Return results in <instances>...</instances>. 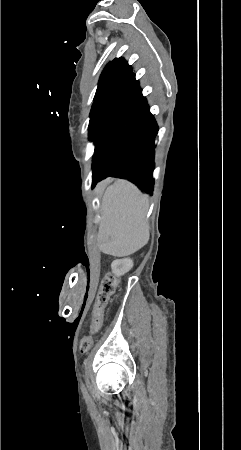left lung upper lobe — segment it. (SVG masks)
<instances>
[{"mask_svg": "<svg viewBox=\"0 0 241 450\" xmlns=\"http://www.w3.org/2000/svg\"><path fill=\"white\" fill-rule=\"evenodd\" d=\"M127 62L122 58H116L104 68L98 83L94 103L90 112L89 128L97 115L110 104L122 89L124 81V68Z\"/></svg>", "mask_w": 241, "mask_h": 450, "instance_id": "obj_1", "label": "left lung upper lobe"}]
</instances>
